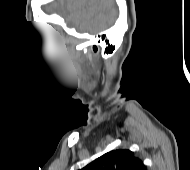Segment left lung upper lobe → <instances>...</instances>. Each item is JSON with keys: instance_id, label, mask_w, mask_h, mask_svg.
Returning a JSON list of instances; mask_svg holds the SVG:
<instances>
[{"instance_id": "obj_1", "label": "left lung upper lobe", "mask_w": 190, "mask_h": 170, "mask_svg": "<svg viewBox=\"0 0 190 170\" xmlns=\"http://www.w3.org/2000/svg\"><path fill=\"white\" fill-rule=\"evenodd\" d=\"M81 170H146V167L133 152L119 149L105 153Z\"/></svg>"}]
</instances>
